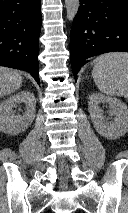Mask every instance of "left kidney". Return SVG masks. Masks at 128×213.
<instances>
[{"label":"left kidney","mask_w":128,"mask_h":213,"mask_svg":"<svg viewBox=\"0 0 128 213\" xmlns=\"http://www.w3.org/2000/svg\"><path fill=\"white\" fill-rule=\"evenodd\" d=\"M100 103L110 106V114L114 117L109 121L105 117ZM88 110L95 130L107 139H117L128 132V107L120 100L100 93H92L89 96Z\"/></svg>","instance_id":"1"}]
</instances>
